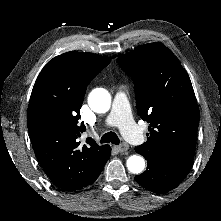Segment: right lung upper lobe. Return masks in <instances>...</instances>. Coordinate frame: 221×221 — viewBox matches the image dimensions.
<instances>
[{
	"label": "right lung upper lobe",
	"instance_id": "obj_1",
	"mask_svg": "<svg viewBox=\"0 0 221 221\" xmlns=\"http://www.w3.org/2000/svg\"><path fill=\"white\" fill-rule=\"evenodd\" d=\"M109 57L70 51L56 56L40 72L29 101L27 124L34 152L48 177L75 191L96 181L111 155L78 124L88 84L110 63Z\"/></svg>",
	"mask_w": 221,
	"mask_h": 221
}]
</instances>
